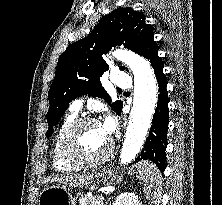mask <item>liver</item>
<instances>
[{
  "label": "liver",
  "mask_w": 222,
  "mask_h": 205,
  "mask_svg": "<svg viewBox=\"0 0 222 205\" xmlns=\"http://www.w3.org/2000/svg\"><path fill=\"white\" fill-rule=\"evenodd\" d=\"M92 179H93V173H90V174H84V175L55 177L53 181L60 182L64 185L82 188L90 184Z\"/></svg>",
  "instance_id": "obj_1"
}]
</instances>
